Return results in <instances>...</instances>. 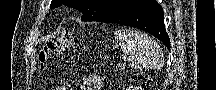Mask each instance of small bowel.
Masks as SVG:
<instances>
[{"label":"small bowel","mask_w":216,"mask_h":90,"mask_svg":"<svg viewBox=\"0 0 216 90\" xmlns=\"http://www.w3.org/2000/svg\"><path fill=\"white\" fill-rule=\"evenodd\" d=\"M100 85V79L96 74L86 75L80 84V90H98ZM50 90H67L66 87L58 86Z\"/></svg>","instance_id":"c3829d8e"}]
</instances>
